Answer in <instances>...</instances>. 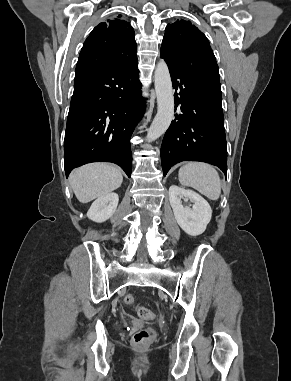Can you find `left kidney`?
I'll return each instance as SVG.
<instances>
[{"mask_svg":"<svg viewBox=\"0 0 291 381\" xmlns=\"http://www.w3.org/2000/svg\"><path fill=\"white\" fill-rule=\"evenodd\" d=\"M182 200L192 202V208L184 207ZM169 201L175 219L184 232L198 236L205 231L211 220L212 209L202 196L193 190L172 185L169 188Z\"/></svg>","mask_w":291,"mask_h":381,"instance_id":"left-kidney-1","label":"left kidney"}]
</instances>
